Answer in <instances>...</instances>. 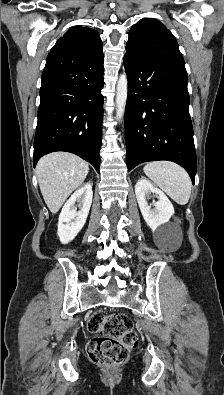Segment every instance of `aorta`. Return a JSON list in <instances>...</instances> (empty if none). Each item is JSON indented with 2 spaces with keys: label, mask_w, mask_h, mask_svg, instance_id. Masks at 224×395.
Segmentation results:
<instances>
[{
  "label": "aorta",
  "mask_w": 224,
  "mask_h": 395,
  "mask_svg": "<svg viewBox=\"0 0 224 395\" xmlns=\"http://www.w3.org/2000/svg\"><path fill=\"white\" fill-rule=\"evenodd\" d=\"M128 96V80L125 73L121 74L116 89V119L121 120L124 116Z\"/></svg>",
  "instance_id": "obj_1"
}]
</instances>
